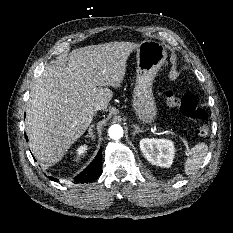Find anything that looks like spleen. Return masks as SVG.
<instances>
[{
    "label": "spleen",
    "mask_w": 233,
    "mask_h": 233,
    "mask_svg": "<svg viewBox=\"0 0 233 233\" xmlns=\"http://www.w3.org/2000/svg\"><path fill=\"white\" fill-rule=\"evenodd\" d=\"M208 153L206 143H198L189 152V156L185 161L184 171L186 175H192L202 166Z\"/></svg>",
    "instance_id": "3e777b00"
}]
</instances>
